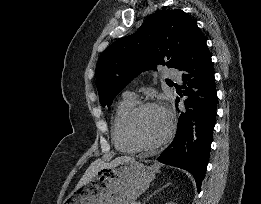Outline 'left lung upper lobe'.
<instances>
[{"label":"left lung upper lobe","instance_id":"1","mask_svg":"<svg viewBox=\"0 0 261 204\" xmlns=\"http://www.w3.org/2000/svg\"><path fill=\"white\" fill-rule=\"evenodd\" d=\"M200 31L197 23L180 9L160 10L132 35L112 43L97 65V89L102 106H110L116 95L141 71L157 65L178 69Z\"/></svg>","mask_w":261,"mask_h":204}]
</instances>
